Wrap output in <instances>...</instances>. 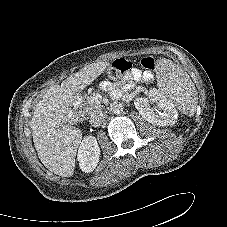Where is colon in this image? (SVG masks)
Masks as SVG:
<instances>
[{"instance_id": "colon-1", "label": "colon", "mask_w": 227, "mask_h": 227, "mask_svg": "<svg viewBox=\"0 0 227 227\" xmlns=\"http://www.w3.org/2000/svg\"><path fill=\"white\" fill-rule=\"evenodd\" d=\"M140 64L145 73H152L155 69L156 63L152 57H144L141 59ZM131 69V63L126 59L116 60L109 68L108 74L112 78H117Z\"/></svg>"}]
</instances>
